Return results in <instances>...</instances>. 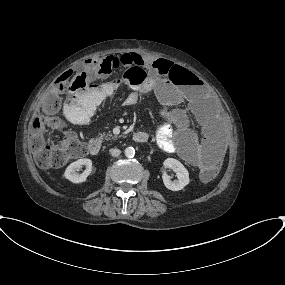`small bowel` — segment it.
Listing matches in <instances>:
<instances>
[{
    "mask_svg": "<svg viewBox=\"0 0 285 285\" xmlns=\"http://www.w3.org/2000/svg\"><path fill=\"white\" fill-rule=\"evenodd\" d=\"M126 63H138L139 58L134 59L132 55L125 54L122 59ZM156 58L144 59L148 63V73L152 80L166 81L169 78L159 73L153 63ZM152 88V83L143 89H135L128 93L123 99L124 105L131 106L138 102L143 92H148ZM117 89V85L111 81L92 80L86 85L70 94L64 104V114L71 123L83 124L89 118V112L76 107V103L82 104L84 107L93 109L98 107L103 101L111 97ZM195 97L178 96L174 102L160 103L162 116L166 122L161 124L155 130V141L159 148L165 151L178 150L179 144L184 145L180 151L181 157L188 163L198 166L201 169L214 164L217 158L222 154L225 147V140L222 134L209 123V121L201 118L200 124L203 137L199 139L192 131H188L185 138L181 139L175 135L174 126L178 125L182 128H188L191 121L192 105ZM178 105L185 106L183 115L176 114L174 109ZM69 136V133L66 134Z\"/></svg>",
    "mask_w": 285,
    "mask_h": 285,
    "instance_id": "1",
    "label": "small bowel"
}]
</instances>
